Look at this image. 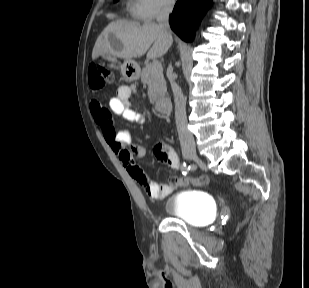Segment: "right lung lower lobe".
I'll return each mask as SVG.
<instances>
[{"instance_id": "obj_1", "label": "right lung lower lobe", "mask_w": 309, "mask_h": 288, "mask_svg": "<svg viewBox=\"0 0 309 288\" xmlns=\"http://www.w3.org/2000/svg\"><path fill=\"white\" fill-rule=\"evenodd\" d=\"M211 3V0H178L170 18L172 30L184 41L191 42L195 27Z\"/></svg>"}]
</instances>
